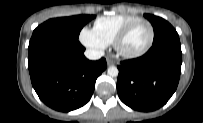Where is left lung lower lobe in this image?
Wrapping results in <instances>:
<instances>
[{
    "label": "left lung lower lobe",
    "instance_id": "obj_1",
    "mask_svg": "<svg viewBox=\"0 0 203 123\" xmlns=\"http://www.w3.org/2000/svg\"><path fill=\"white\" fill-rule=\"evenodd\" d=\"M181 44L173 35L152 45L141 57L118 66L117 92L121 101L138 111H154L167 103L180 79Z\"/></svg>",
    "mask_w": 203,
    "mask_h": 123
}]
</instances>
